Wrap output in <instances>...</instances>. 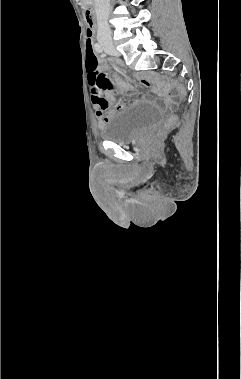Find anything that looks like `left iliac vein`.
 I'll use <instances>...</instances> for the list:
<instances>
[{
  "mask_svg": "<svg viewBox=\"0 0 241 379\" xmlns=\"http://www.w3.org/2000/svg\"><path fill=\"white\" fill-rule=\"evenodd\" d=\"M105 52L108 53V54H112V53L108 52L106 49H105Z\"/></svg>",
  "mask_w": 241,
  "mask_h": 379,
  "instance_id": "obj_1",
  "label": "left iliac vein"
}]
</instances>
